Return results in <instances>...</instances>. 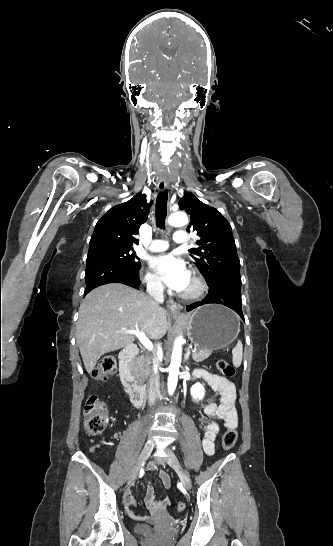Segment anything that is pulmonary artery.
Returning <instances> with one entry per match:
<instances>
[{"label":"pulmonary artery","mask_w":333,"mask_h":546,"mask_svg":"<svg viewBox=\"0 0 333 546\" xmlns=\"http://www.w3.org/2000/svg\"><path fill=\"white\" fill-rule=\"evenodd\" d=\"M174 241L178 244L186 243L188 241V235L185 231L179 230L174 234ZM169 244L166 240H153L149 246L151 252H162L167 250Z\"/></svg>","instance_id":"e3ab8cb5"}]
</instances>
